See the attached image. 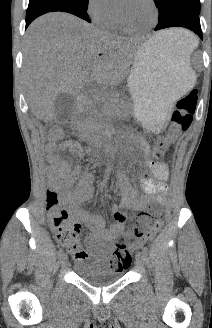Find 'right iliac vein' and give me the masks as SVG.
<instances>
[{"mask_svg":"<svg viewBox=\"0 0 212 328\" xmlns=\"http://www.w3.org/2000/svg\"><path fill=\"white\" fill-rule=\"evenodd\" d=\"M61 264L63 267H66L68 265V260L66 255L61 257Z\"/></svg>","mask_w":212,"mask_h":328,"instance_id":"obj_1","label":"right iliac vein"}]
</instances>
